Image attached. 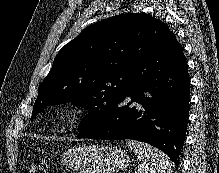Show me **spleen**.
<instances>
[{
  "instance_id": "spleen-1",
  "label": "spleen",
  "mask_w": 219,
  "mask_h": 173,
  "mask_svg": "<svg viewBox=\"0 0 219 173\" xmlns=\"http://www.w3.org/2000/svg\"><path fill=\"white\" fill-rule=\"evenodd\" d=\"M127 146L141 162L135 173H172L173 164L163 152L149 144L136 140H127Z\"/></svg>"
}]
</instances>
